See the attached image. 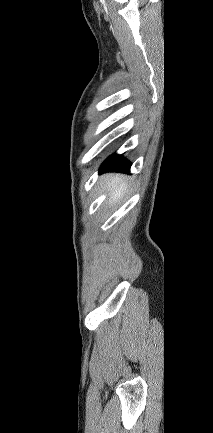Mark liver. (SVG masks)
<instances>
[{"label": "liver", "mask_w": 213, "mask_h": 433, "mask_svg": "<svg viewBox=\"0 0 213 433\" xmlns=\"http://www.w3.org/2000/svg\"><path fill=\"white\" fill-rule=\"evenodd\" d=\"M106 189L110 190L107 203L112 206L123 199L128 191V183L120 175L107 177Z\"/></svg>", "instance_id": "obj_1"}]
</instances>
